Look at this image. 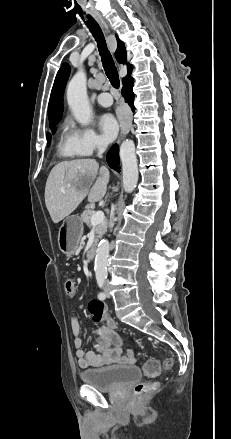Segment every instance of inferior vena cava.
I'll return each instance as SVG.
<instances>
[{
	"label": "inferior vena cava",
	"instance_id": "1",
	"mask_svg": "<svg viewBox=\"0 0 231 439\" xmlns=\"http://www.w3.org/2000/svg\"><path fill=\"white\" fill-rule=\"evenodd\" d=\"M97 146H98V157L101 158L103 152L106 149V144L103 143V142H98ZM113 226H114V216L111 215V217H110V227H113Z\"/></svg>",
	"mask_w": 231,
	"mask_h": 439
}]
</instances>
